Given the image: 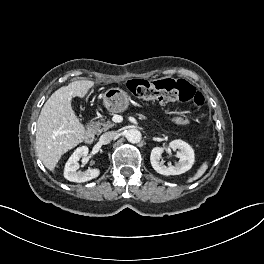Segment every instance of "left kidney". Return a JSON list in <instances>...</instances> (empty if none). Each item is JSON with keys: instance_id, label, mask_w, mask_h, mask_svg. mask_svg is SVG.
Listing matches in <instances>:
<instances>
[{"instance_id": "obj_1", "label": "left kidney", "mask_w": 264, "mask_h": 264, "mask_svg": "<svg viewBox=\"0 0 264 264\" xmlns=\"http://www.w3.org/2000/svg\"><path fill=\"white\" fill-rule=\"evenodd\" d=\"M171 149H178L177 156L179 162L175 166H165L160 161L163 152L162 147H154L151 151L150 161L156 172L162 175H180L185 173L193 166L195 162V155L193 148L186 142L178 139L169 143Z\"/></svg>"}]
</instances>
